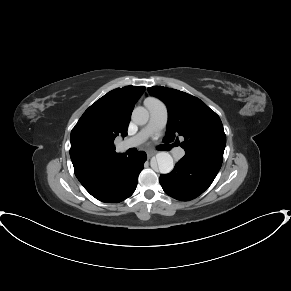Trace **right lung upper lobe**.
<instances>
[{
  "mask_svg": "<svg viewBox=\"0 0 291 291\" xmlns=\"http://www.w3.org/2000/svg\"><path fill=\"white\" fill-rule=\"evenodd\" d=\"M145 91L143 86L114 89L92 104L71 131L70 157L74 168L111 160L114 139L127 135L135 103Z\"/></svg>",
  "mask_w": 291,
  "mask_h": 291,
  "instance_id": "cb5924a9",
  "label": "right lung upper lobe"
}]
</instances>
